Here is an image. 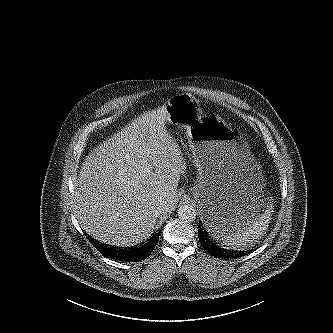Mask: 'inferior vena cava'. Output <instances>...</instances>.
<instances>
[{
    "mask_svg": "<svg viewBox=\"0 0 333 333\" xmlns=\"http://www.w3.org/2000/svg\"><path fill=\"white\" fill-rule=\"evenodd\" d=\"M168 210L167 202L164 199H159L156 206V213L161 214Z\"/></svg>",
    "mask_w": 333,
    "mask_h": 333,
    "instance_id": "1",
    "label": "inferior vena cava"
}]
</instances>
